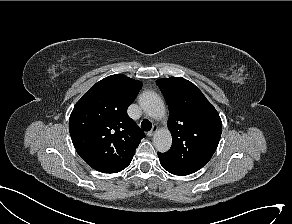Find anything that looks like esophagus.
<instances>
[{
  "instance_id": "esophagus-1",
  "label": "esophagus",
  "mask_w": 292,
  "mask_h": 224,
  "mask_svg": "<svg viewBox=\"0 0 292 224\" xmlns=\"http://www.w3.org/2000/svg\"><path fill=\"white\" fill-rule=\"evenodd\" d=\"M158 131V126L157 125H154L152 130L147 132V135L150 137V136H153L156 132Z\"/></svg>"
}]
</instances>
